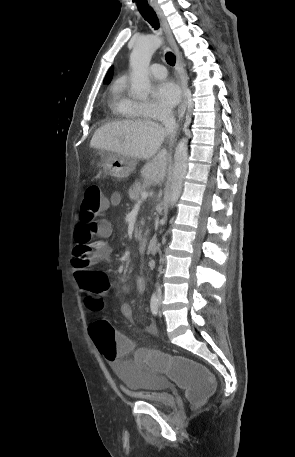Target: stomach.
<instances>
[{"label":"stomach","instance_id":"0dacf381","mask_svg":"<svg viewBox=\"0 0 295 457\" xmlns=\"http://www.w3.org/2000/svg\"><path fill=\"white\" fill-rule=\"evenodd\" d=\"M103 168L107 175L123 179L128 177L136 167V159L113 152H102Z\"/></svg>","mask_w":295,"mask_h":457}]
</instances>
